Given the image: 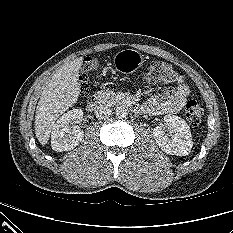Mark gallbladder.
<instances>
[{
    "instance_id": "gallbladder-1",
    "label": "gallbladder",
    "mask_w": 233,
    "mask_h": 233,
    "mask_svg": "<svg viewBox=\"0 0 233 233\" xmlns=\"http://www.w3.org/2000/svg\"><path fill=\"white\" fill-rule=\"evenodd\" d=\"M89 67L90 69H97L98 68V61L97 59H92L90 62H89Z\"/></svg>"
}]
</instances>
